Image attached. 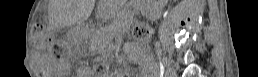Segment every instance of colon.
<instances>
[{
  "mask_svg": "<svg viewBox=\"0 0 258 77\" xmlns=\"http://www.w3.org/2000/svg\"><path fill=\"white\" fill-rule=\"evenodd\" d=\"M33 36L38 47H44L49 42V35L42 22H36L33 26ZM132 39L141 44H149L152 38V28L147 23H141L132 28Z\"/></svg>",
  "mask_w": 258,
  "mask_h": 77,
  "instance_id": "obj_1",
  "label": "colon"
}]
</instances>
